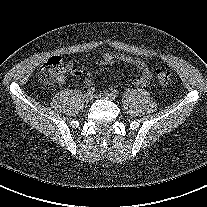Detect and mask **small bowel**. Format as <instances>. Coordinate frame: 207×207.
Masks as SVG:
<instances>
[{"instance_id":"obj_1","label":"small bowel","mask_w":207,"mask_h":207,"mask_svg":"<svg viewBox=\"0 0 207 207\" xmlns=\"http://www.w3.org/2000/svg\"><path fill=\"white\" fill-rule=\"evenodd\" d=\"M97 62L101 65H108L115 62H124L135 67L139 71V76L133 81V84L137 87L146 86L151 78V71L148 65L146 64L145 61L137 57L126 55L123 53L108 51L103 53ZM68 70L70 71L71 74L75 76H80L83 73V69L80 66H78L74 61L69 63ZM64 80L65 77L64 75H62L57 82L63 83ZM85 83L89 86L93 84L90 78H86Z\"/></svg>"}]
</instances>
